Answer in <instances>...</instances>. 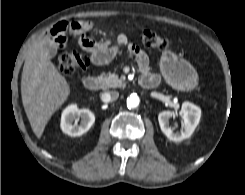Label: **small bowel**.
<instances>
[{
    "mask_svg": "<svg viewBox=\"0 0 245 195\" xmlns=\"http://www.w3.org/2000/svg\"><path fill=\"white\" fill-rule=\"evenodd\" d=\"M90 21H75L71 23L59 22L50 30L52 42L47 48L48 52H52L54 48H61L66 45V32L71 30L77 35V42L80 47L90 53L91 62L94 65H104L112 61L119 51L127 47L135 56L136 62L142 72L149 73L148 55L136 44L130 43L125 34H119L116 37L110 35L104 41H96L86 35V32L93 28Z\"/></svg>",
    "mask_w": 245,
    "mask_h": 195,
    "instance_id": "c3829d8e",
    "label": "small bowel"
}]
</instances>
